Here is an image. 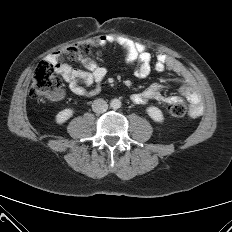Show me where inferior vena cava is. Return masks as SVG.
<instances>
[{
  "label": "inferior vena cava",
  "mask_w": 232,
  "mask_h": 232,
  "mask_svg": "<svg viewBox=\"0 0 232 232\" xmlns=\"http://www.w3.org/2000/svg\"><path fill=\"white\" fill-rule=\"evenodd\" d=\"M108 109V104L104 99H96L94 100V102L92 103V110L97 113V114H101L106 112Z\"/></svg>",
  "instance_id": "inferior-vena-cava-1"
}]
</instances>
